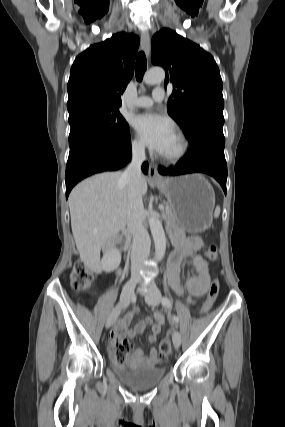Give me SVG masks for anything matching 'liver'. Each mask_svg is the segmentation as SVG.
<instances>
[{
    "instance_id": "1",
    "label": "liver",
    "mask_w": 285,
    "mask_h": 427,
    "mask_svg": "<svg viewBox=\"0 0 285 427\" xmlns=\"http://www.w3.org/2000/svg\"><path fill=\"white\" fill-rule=\"evenodd\" d=\"M121 172L92 176L73 188L68 203L71 227L80 259L91 269L100 266V251L127 223L128 195ZM147 180L141 178L142 195Z\"/></svg>"
}]
</instances>
